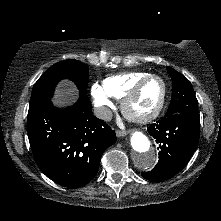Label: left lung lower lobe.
Instances as JSON below:
<instances>
[{
    "label": "left lung lower lobe",
    "mask_w": 221,
    "mask_h": 221,
    "mask_svg": "<svg viewBox=\"0 0 221 221\" xmlns=\"http://www.w3.org/2000/svg\"><path fill=\"white\" fill-rule=\"evenodd\" d=\"M147 130L159 144V161L151 171L141 174L148 180L165 181L179 173L196 150L200 122L187 114H173L164 116Z\"/></svg>",
    "instance_id": "0a47b994"
}]
</instances>
